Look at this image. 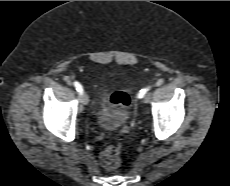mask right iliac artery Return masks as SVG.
I'll list each match as a JSON object with an SVG mask.
<instances>
[{"instance_id": "82829eb1", "label": "right iliac artery", "mask_w": 230, "mask_h": 186, "mask_svg": "<svg viewBox=\"0 0 230 186\" xmlns=\"http://www.w3.org/2000/svg\"><path fill=\"white\" fill-rule=\"evenodd\" d=\"M73 84H74L76 90L81 94L83 92V88H82L81 84L78 82H74Z\"/></svg>"}]
</instances>
